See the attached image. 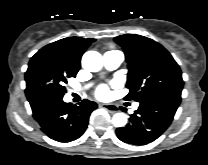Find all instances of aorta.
Returning <instances> with one entry per match:
<instances>
[{"label":"aorta","instance_id":"aorta-1","mask_svg":"<svg viewBox=\"0 0 208 165\" xmlns=\"http://www.w3.org/2000/svg\"><path fill=\"white\" fill-rule=\"evenodd\" d=\"M82 66L90 72H98L103 67V57L97 51H87L82 57ZM112 122L117 127H123L127 124V115L120 112L114 114Z\"/></svg>","mask_w":208,"mask_h":165}]
</instances>
